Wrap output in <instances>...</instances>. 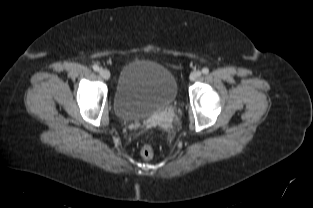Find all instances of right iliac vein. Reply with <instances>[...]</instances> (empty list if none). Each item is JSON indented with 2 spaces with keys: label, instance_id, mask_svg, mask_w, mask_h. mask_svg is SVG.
Returning a JSON list of instances; mask_svg holds the SVG:
<instances>
[{
  "label": "right iliac vein",
  "instance_id": "obj_1",
  "mask_svg": "<svg viewBox=\"0 0 313 208\" xmlns=\"http://www.w3.org/2000/svg\"><path fill=\"white\" fill-rule=\"evenodd\" d=\"M99 74L105 80H108L110 78V72L107 69H100Z\"/></svg>",
  "mask_w": 313,
  "mask_h": 208
}]
</instances>
